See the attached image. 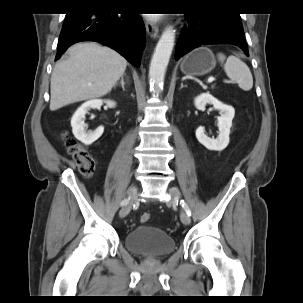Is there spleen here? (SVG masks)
I'll return each instance as SVG.
<instances>
[{"label":"spleen","mask_w":303,"mask_h":303,"mask_svg":"<svg viewBox=\"0 0 303 303\" xmlns=\"http://www.w3.org/2000/svg\"><path fill=\"white\" fill-rule=\"evenodd\" d=\"M218 58L223 62L226 57L219 54ZM224 70L227 76L233 81L238 83V86L244 91H249L253 87V77L249 67L241 61L238 57L231 55L227 58L224 64Z\"/></svg>","instance_id":"3e777b00"}]
</instances>
